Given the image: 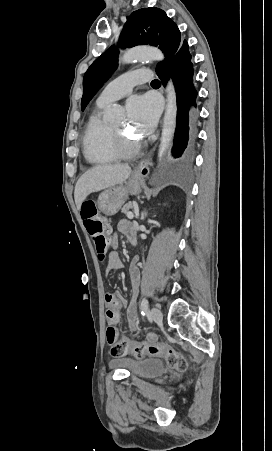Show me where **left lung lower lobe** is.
Instances as JSON below:
<instances>
[{"instance_id": "obj_1", "label": "left lung lower lobe", "mask_w": 272, "mask_h": 451, "mask_svg": "<svg viewBox=\"0 0 272 451\" xmlns=\"http://www.w3.org/2000/svg\"><path fill=\"white\" fill-rule=\"evenodd\" d=\"M191 58L188 43L184 40L172 59L156 71L164 86L169 77H172L175 86L178 110L172 155L175 159L174 165L177 167H183L192 160L197 134L195 110L197 91L193 85Z\"/></svg>"}]
</instances>
